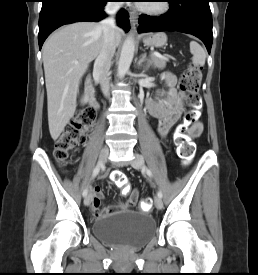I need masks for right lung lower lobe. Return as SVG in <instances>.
I'll return each instance as SVG.
<instances>
[{
    "label": "right lung lower lobe",
    "mask_w": 258,
    "mask_h": 275,
    "mask_svg": "<svg viewBox=\"0 0 258 275\" xmlns=\"http://www.w3.org/2000/svg\"><path fill=\"white\" fill-rule=\"evenodd\" d=\"M110 0H42L39 16L38 42L41 49L43 42L58 27L80 21H99L106 17L103 8ZM119 26L130 29L129 14L120 10Z\"/></svg>",
    "instance_id": "98d812e1"
}]
</instances>
